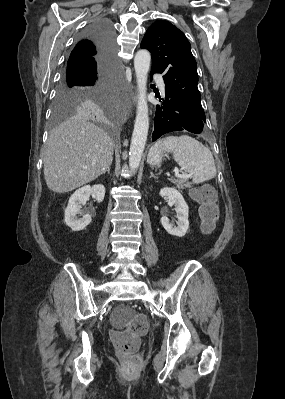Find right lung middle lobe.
<instances>
[{
  "label": "right lung middle lobe",
  "instance_id": "1",
  "mask_svg": "<svg viewBox=\"0 0 285 399\" xmlns=\"http://www.w3.org/2000/svg\"><path fill=\"white\" fill-rule=\"evenodd\" d=\"M112 100V87L88 88L62 80L58 85L54 102V124L67 116L73 115L75 111L77 114L89 112L108 117L112 109ZM92 104H99V107L94 110Z\"/></svg>",
  "mask_w": 285,
  "mask_h": 399
}]
</instances>
